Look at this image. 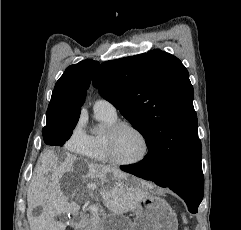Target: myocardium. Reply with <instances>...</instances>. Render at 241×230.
Instances as JSON below:
<instances>
[{
  "label": "myocardium",
  "mask_w": 241,
  "mask_h": 230,
  "mask_svg": "<svg viewBox=\"0 0 241 230\" xmlns=\"http://www.w3.org/2000/svg\"><path fill=\"white\" fill-rule=\"evenodd\" d=\"M123 128H129L133 130L135 133H137V135L141 138L143 142V146H144L143 152L141 156L135 160L123 161L118 159L115 155V150H114L115 137L118 134V132ZM104 141H105V149H106V153L109 158V161L118 166L137 165L146 159L150 151L149 141L146 135L144 134V132L139 127H137L136 125L128 121H116L111 126H109L105 133Z\"/></svg>",
  "instance_id": "1"
}]
</instances>
